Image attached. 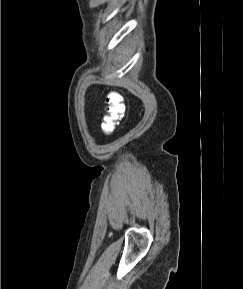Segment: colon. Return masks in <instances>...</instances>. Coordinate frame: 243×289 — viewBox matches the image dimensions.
I'll use <instances>...</instances> for the list:
<instances>
[{"mask_svg":"<svg viewBox=\"0 0 243 289\" xmlns=\"http://www.w3.org/2000/svg\"><path fill=\"white\" fill-rule=\"evenodd\" d=\"M106 103L108 107L102 123V131L105 135H110L125 111L124 98L121 93L113 91L107 95Z\"/></svg>","mask_w":243,"mask_h":289,"instance_id":"1","label":"colon"}]
</instances>
